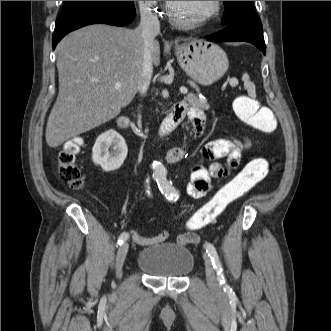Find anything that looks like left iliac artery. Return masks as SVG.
Masks as SVG:
<instances>
[{"mask_svg":"<svg viewBox=\"0 0 331 331\" xmlns=\"http://www.w3.org/2000/svg\"><path fill=\"white\" fill-rule=\"evenodd\" d=\"M154 179L156 180L160 191L162 193H164V195L166 196V198L168 200L176 201L178 199V192L175 191L174 187L172 186L171 181L169 182L167 180L165 173H163L161 171H156L154 174ZM205 247H206V252L208 253V256L210 257V259L212 261V265H213L214 269L216 270L217 279L219 280V282L222 285H225V287H227L226 279L223 274V268L219 261V257H218L215 247L211 243H208V242L205 244Z\"/></svg>","mask_w":331,"mask_h":331,"instance_id":"44dca946","label":"left iliac artery"}]
</instances>
